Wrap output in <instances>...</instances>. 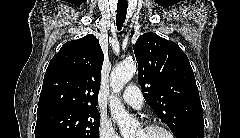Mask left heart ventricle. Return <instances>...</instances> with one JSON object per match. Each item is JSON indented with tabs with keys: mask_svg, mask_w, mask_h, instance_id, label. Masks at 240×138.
I'll list each match as a JSON object with an SVG mask.
<instances>
[{
	"mask_svg": "<svg viewBox=\"0 0 240 138\" xmlns=\"http://www.w3.org/2000/svg\"><path fill=\"white\" fill-rule=\"evenodd\" d=\"M133 138H167V136L161 131L140 129L133 134Z\"/></svg>",
	"mask_w": 240,
	"mask_h": 138,
	"instance_id": "left-heart-ventricle-1",
	"label": "left heart ventricle"
}]
</instances>
